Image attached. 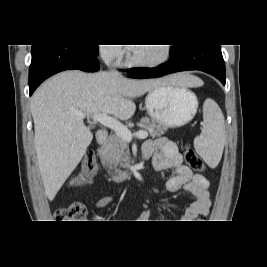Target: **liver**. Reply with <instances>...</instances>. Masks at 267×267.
<instances>
[{"instance_id": "obj_1", "label": "liver", "mask_w": 267, "mask_h": 267, "mask_svg": "<svg viewBox=\"0 0 267 267\" xmlns=\"http://www.w3.org/2000/svg\"><path fill=\"white\" fill-rule=\"evenodd\" d=\"M187 73L134 80L109 72L65 71L43 83L31 99L35 150L45 194L52 201L81 161L93 134L77 114L106 113L121 120L135 112L133 98L166 85L200 87Z\"/></svg>"}]
</instances>
